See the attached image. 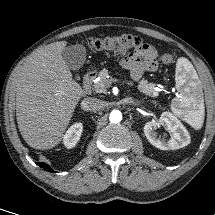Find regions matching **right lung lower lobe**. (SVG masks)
Segmentation results:
<instances>
[{
  "mask_svg": "<svg viewBox=\"0 0 215 215\" xmlns=\"http://www.w3.org/2000/svg\"><path fill=\"white\" fill-rule=\"evenodd\" d=\"M36 164H37L38 166L42 167V168H43L44 170H46V171H50V172L53 171L52 168H50V166H49L48 164H46V163L37 162Z\"/></svg>",
  "mask_w": 215,
  "mask_h": 215,
  "instance_id": "right-lung-lower-lobe-1",
  "label": "right lung lower lobe"
}]
</instances>
